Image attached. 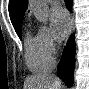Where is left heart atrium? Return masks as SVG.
I'll return each instance as SVG.
<instances>
[{
    "instance_id": "obj_1",
    "label": "left heart atrium",
    "mask_w": 89,
    "mask_h": 89,
    "mask_svg": "<svg viewBox=\"0 0 89 89\" xmlns=\"http://www.w3.org/2000/svg\"><path fill=\"white\" fill-rule=\"evenodd\" d=\"M52 30L58 40L63 39L68 29V18L63 8L57 6L50 12Z\"/></svg>"
}]
</instances>
